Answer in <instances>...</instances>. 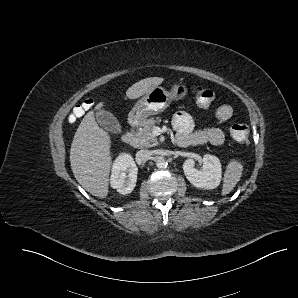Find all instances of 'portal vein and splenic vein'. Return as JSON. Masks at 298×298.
<instances>
[{"label": "portal vein and splenic vein", "instance_id": "18ae733b", "mask_svg": "<svg viewBox=\"0 0 298 298\" xmlns=\"http://www.w3.org/2000/svg\"><path fill=\"white\" fill-rule=\"evenodd\" d=\"M159 129H160L159 127H156V126L154 127V130H159Z\"/></svg>", "mask_w": 298, "mask_h": 298}]
</instances>
